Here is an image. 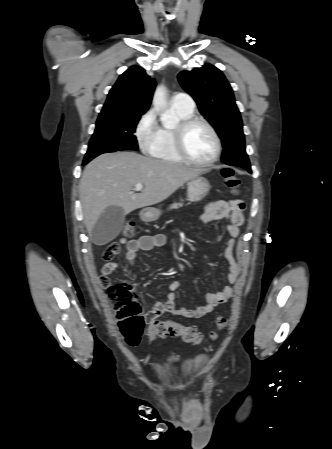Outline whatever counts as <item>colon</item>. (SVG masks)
Instances as JSON below:
<instances>
[{
	"instance_id": "colon-1",
	"label": "colon",
	"mask_w": 332,
	"mask_h": 449,
	"mask_svg": "<svg viewBox=\"0 0 332 449\" xmlns=\"http://www.w3.org/2000/svg\"><path fill=\"white\" fill-rule=\"evenodd\" d=\"M221 174L225 185L233 193H236L240 181L235 170L231 167H225L222 169ZM122 232L126 238L132 237L135 234L134 223H125ZM120 251L121 241L111 242L104 249L102 259L106 262H110L120 253ZM107 293L112 300L119 328L124 335L126 342L131 346L139 344L145 328V319L132 287L126 282L112 283L107 286ZM216 324V330L210 333L212 339H216L219 332L227 328L228 319L226 317H219ZM168 336L180 337L186 342L195 344L202 341V334L194 326H184L167 319L153 320L150 322L148 326L149 339L153 340L155 338H164Z\"/></svg>"
}]
</instances>
